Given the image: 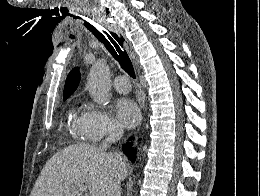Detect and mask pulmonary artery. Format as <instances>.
Wrapping results in <instances>:
<instances>
[{
	"mask_svg": "<svg viewBox=\"0 0 260 196\" xmlns=\"http://www.w3.org/2000/svg\"><path fill=\"white\" fill-rule=\"evenodd\" d=\"M111 84H117L115 89L121 93H127L130 90V82L128 76H115V79L110 80Z\"/></svg>",
	"mask_w": 260,
	"mask_h": 196,
	"instance_id": "1",
	"label": "pulmonary artery"
}]
</instances>
